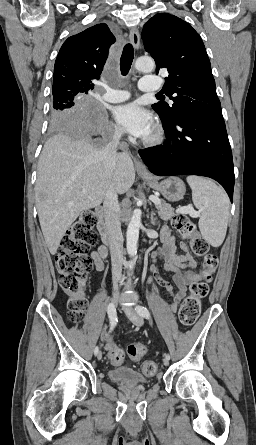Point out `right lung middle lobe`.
Instances as JSON below:
<instances>
[{
    "instance_id": "dd1d6c3e",
    "label": "right lung middle lobe",
    "mask_w": 256,
    "mask_h": 445,
    "mask_svg": "<svg viewBox=\"0 0 256 445\" xmlns=\"http://www.w3.org/2000/svg\"><path fill=\"white\" fill-rule=\"evenodd\" d=\"M86 93L67 91L53 95V108L51 111V128H69L81 118L83 102Z\"/></svg>"
}]
</instances>
